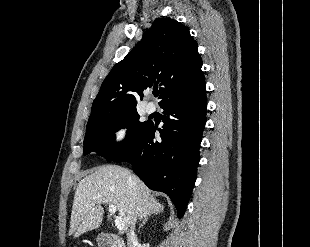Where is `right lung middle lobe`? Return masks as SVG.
<instances>
[{"label":"right lung middle lobe","instance_id":"obj_1","mask_svg":"<svg viewBox=\"0 0 310 247\" xmlns=\"http://www.w3.org/2000/svg\"><path fill=\"white\" fill-rule=\"evenodd\" d=\"M148 124L139 121L136 109L97 118L87 124L84 154L97 152L107 161H113L133 145ZM121 128L128 129L126 138L115 143V132Z\"/></svg>","mask_w":310,"mask_h":247}]
</instances>
